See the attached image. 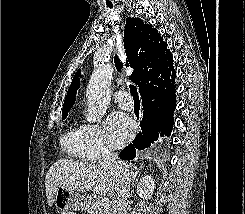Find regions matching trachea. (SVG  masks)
<instances>
[{
  "label": "trachea",
  "instance_id": "obj_1",
  "mask_svg": "<svg viewBox=\"0 0 245 214\" xmlns=\"http://www.w3.org/2000/svg\"><path fill=\"white\" fill-rule=\"evenodd\" d=\"M107 6H108L109 8H112V4H107ZM130 93H131V95H132V97H133V99H134V102H135V103H140L139 95H138L136 86H134V85H132V84L130 85Z\"/></svg>",
  "mask_w": 245,
  "mask_h": 214
}]
</instances>
